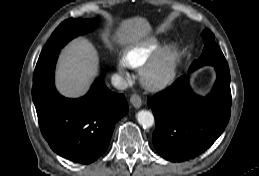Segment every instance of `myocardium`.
I'll use <instances>...</instances> for the list:
<instances>
[{
  "label": "myocardium",
  "mask_w": 259,
  "mask_h": 176,
  "mask_svg": "<svg viewBox=\"0 0 259 176\" xmlns=\"http://www.w3.org/2000/svg\"><path fill=\"white\" fill-rule=\"evenodd\" d=\"M180 62V44L171 41L142 67L140 72L142 84L152 91L170 86L176 80Z\"/></svg>",
  "instance_id": "obj_1"
}]
</instances>
